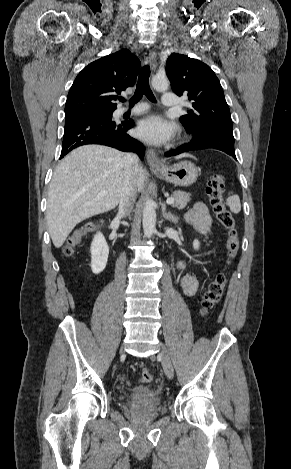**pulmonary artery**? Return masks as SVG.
I'll list each match as a JSON object with an SVG mask.
<instances>
[{
	"mask_svg": "<svg viewBox=\"0 0 291 469\" xmlns=\"http://www.w3.org/2000/svg\"><path fill=\"white\" fill-rule=\"evenodd\" d=\"M162 105L164 107H174L177 105V98L174 93L171 92H165L162 96ZM147 110V106L145 104H140L136 107H134L131 112L138 114L142 113ZM127 110H122V112H126Z\"/></svg>",
	"mask_w": 291,
	"mask_h": 469,
	"instance_id": "obj_1",
	"label": "pulmonary artery"
}]
</instances>
